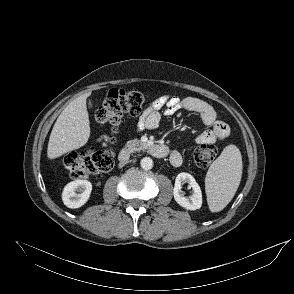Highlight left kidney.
<instances>
[{
    "mask_svg": "<svg viewBox=\"0 0 294 294\" xmlns=\"http://www.w3.org/2000/svg\"><path fill=\"white\" fill-rule=\"evenodd\" d=\"M183 183H188L189 187L192 188V194L189 197H185L184 192L181 190ZM173 195L175 201L187 210H196L202 206V192L200 186L189 173L183 172L177 175Z\"/></svg>",
    "mask_w": 294,
    "mask_h": 294,
    "instance_id": "obj_1",
    "label": "left kidney"
}]
</instances>
